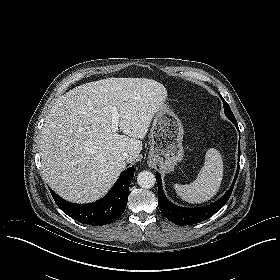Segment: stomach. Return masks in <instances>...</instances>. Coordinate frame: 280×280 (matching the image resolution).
<instances>
[{"label": "stomach", "mask_w": 280, "mask_h": 280, "mask_svg": "<svg viewBox=\"0 0 280 280\" xmlns=\"http://www.w3.org/2000/svg\"><path fill=\"white\" fill-rule=\"evenodd\" d=\"M150 135L149 161L165 172L173 171L184 156V129L180 119L166 105L155 114Z\"/></svg>", "instance_id": "0dacf381"}]
</instances>
